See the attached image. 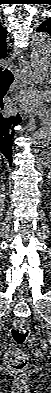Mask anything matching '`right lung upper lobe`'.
I'll use <instances>...</instances> for the list:
<instances>
[{
    "label": "right lung upper lobe",
    "instance_id": "obj_1",
    "mask_svg": "<svg viewBox=\"0 0 51 393\" xmlns=\"http://www.w3.org/2000/svg\"><path fill=\"white\" fill-rule=\"evenodd\" d=\"M6 36L7 31L2 26H0V60L7 57ZM2 70L3 68L0 67V72Z\"/></svg>",
    "mask_w": 51,
    "mask_h": 393
}]
</instances>
